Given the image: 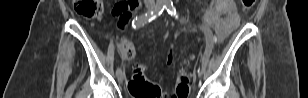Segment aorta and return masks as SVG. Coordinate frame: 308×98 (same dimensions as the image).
<instances>
[{
  "label": "aorta",
  "instance_id": "762f6f07",
  "mask_svg": "<svg viewBox=\"0 0 308 98\" xmlns=\"http://www.w3.org/2000/svg\"><path fill=\"white\" fill-rule=\"evenodd\" d=\"M161 2H163L164 4L169 5V6L173 5L172 0H161Z\"/></svg>",
  "mask_w": 308,
  "mask_h": 98
}]
</instances>
